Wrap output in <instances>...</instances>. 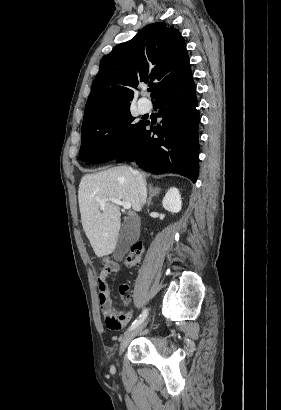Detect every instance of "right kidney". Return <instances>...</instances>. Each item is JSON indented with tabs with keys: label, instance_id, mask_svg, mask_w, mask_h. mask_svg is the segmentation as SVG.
Instances as JSON below:
<instances>
[{
	"label": "right kidney",
	"instance_id": "obj_1",
	"mask_svg": "<svg viewBox=\"0 0 281 410\" xmlns=\"http://www.w3.org/2000/svg\"><path fill=\"white\" fill-rule=\"evenodd\" d=\"M162 205L165 210L178 213L182 208L179 190L175 187L170 188L163 198Z\"/></svg>",
	"mask_w": 281,
	"mask_h": 410
}]
</instances>
